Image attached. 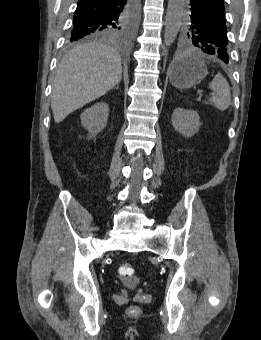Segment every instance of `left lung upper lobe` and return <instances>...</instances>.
Masks as SVG:
<instances>
[{
    "instance_id": "1",
    "label": "left lung upper lobe",
    "mask_w": 261,
    "mask_h": 340,
    "mask_svg": "<svg viewBox=\"0 0 261 340\" xmlns=\"http://www.w3.org/2000/svg\"><path fill=\"white\" fill-rule=\"evenodd\" d=\"M181 42L185 48L197 47L203 52L229 61V42L225 14L208 17L191 14L187 2Z\"/></svg>"
}]
</instances>
